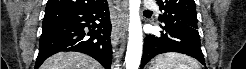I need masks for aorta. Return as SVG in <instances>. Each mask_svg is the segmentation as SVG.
<instances>
[{
    "mask_svg": "<svg viewBox=\"0 0 246 69\" xmlns=\"http://www.w3.org/2000/svg\"><path fill=\"white\" fill-rule=\"evenodd\" d=\"M141 0H129V40L125 57L126 69H138L142 57L143 33L140 20Z\"/></svg>",
    "mask_w": 246,
    "mask_h": 69,
    "instance_id": "aorta-1",
    "label": "aorta"
}]
</instances>
